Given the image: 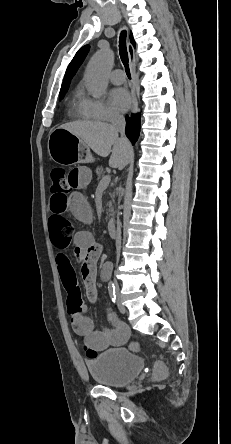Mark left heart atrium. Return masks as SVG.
Returning <instances> with one entry per match:
<instances>
[{
	"label": "left heart atrium",
	"instance_id": "left-heart-atrium-1",
	"mask_svg": "<svg viewBox=\"0 0 231 444\" xmlns=\"http://www.w3.org/2000/svg\"><path fill=\"white\" fill-rule=\"evenodd\" d=\"M109 99L112 106L119 111L128 109L132 101L129 92L124 88H115L111 90Z\"/></svg>",
	"mask_w": 231,
	"mask_h": 444
}]
</instances>
